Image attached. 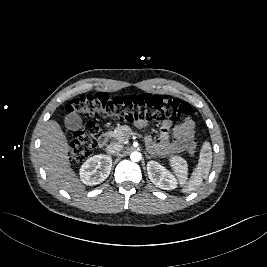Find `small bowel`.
<instances>
[{"label": "small bowel", "instance_id": "small-bowel-1", "mask_svg": "<svg viewBox=\"0 0 267 267\" xmlns=\"http://www.w3.org/2000/svg\"><path fill=\"white\" fill-rule=\"evenodd\" d=\"M145 121H137V127H144ZM171 125L164 122L161 126L158 139L151 136L146 138L148 149L155 154H178L184 151L187 147L189 138L195 134V123L191 118H185L181 123L173 128L172 136L170 135Z\"/></svg>", "mask_w": 267, "mask_h": 267}]
</instances>
